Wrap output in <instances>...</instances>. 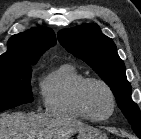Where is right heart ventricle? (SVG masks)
<instances>
[{
	"mask_svg": "<svg viewBox=\"0 0 141 139\" xmlns=\"http://www.w3.org/2000/svg\"><path fill=\"white\" fill-rule=\"evenodd\" d=\"M85 78L71 63H63L51 70L40 82V94L45 109L59 115L88 119L76 98L77 87Z\"/></svg>",
	"mask_w": 141,
	"mask_h": 139,
	"instance_id": "obj_1",
	"label": "right heart ventricle"
}]
</instances>
